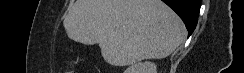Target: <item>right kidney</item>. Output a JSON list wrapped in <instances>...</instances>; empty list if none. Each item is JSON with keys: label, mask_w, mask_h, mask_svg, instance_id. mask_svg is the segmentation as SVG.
<instances>
[{"label": "right kidney", "mask_w": 244, "mask_h": 73, "mask_svg": "<svg viewBox=\"0 0 244 73\" xmlns=\"http://www.w3.org/2000/svg\"><path fill=\"white\" fill-rule=\"evenodd\" d=\"M156 68L155 63L145 61L131 65L124 73H156Z\"/></svg>", "instance_id": "right-kidney-1"}]
</instances>
